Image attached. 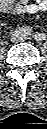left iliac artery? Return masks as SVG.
<instances>
[{"label":"left iliac artery","instance_id":"obj_1","mask_svg":"<svg viewBox=\"0 0 47 129\" xmlns=\"http://www.w3.org/2000/svg\"><path fill=\"white\" fill-rule=\"evenodd\" d=\"M34 38L37 40V41H41V40H44L46 38V35L43 34V33H36L34 35Z\"/></svg>","mask_w":47,"mask_h":129}]
</instances>
